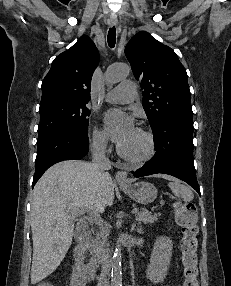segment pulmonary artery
Returning <instances> with one entry per match:
<instances>
[{
	"label": "pulmonary artery",
	"mask_w": 231,
	"mask_h": 286,
	"mask_svg": "<svg viewBox=\"0 0 231 286\" xmlns=\"http://www.w3.org/2000/svg\"><path fill=\"white\" fill-rule=\"evenodd\" d=\"M136 95L135 83L125 80L115 88L109 90L105 94L104 99L111 103H129L135 99Z\"/></svg>",
	"instance_id": "obj_1"
}]
</instances>
